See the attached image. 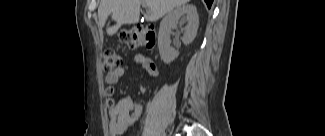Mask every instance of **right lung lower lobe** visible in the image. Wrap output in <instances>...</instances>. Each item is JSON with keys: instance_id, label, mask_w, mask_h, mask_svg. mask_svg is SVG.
Instances as JSON below:
<instances>
[{"instance_id": "obj_1", "label": "right lung lower lobe", "mask_w": 325, "mask_h": 136, "mask_svg": "<svg viewBox=\"0 0 325 136\" xmlns=\"http://www.w3.org/2000/svg\"><path fill=\"white\" fill-rule=\"evenodd\" d=\"M205 2L207 4L208 8H210L211 5H212L213 0H205Z\"/></svg>"}]
</instances>
